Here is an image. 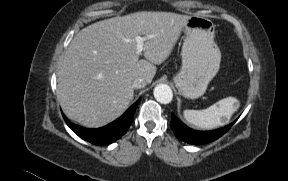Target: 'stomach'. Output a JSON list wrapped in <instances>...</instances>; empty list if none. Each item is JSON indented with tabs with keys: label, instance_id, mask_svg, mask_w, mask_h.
I'll use <instances>...</instances> for the list:
<instances>
[{
	"label": "stomach",
	"instance_id": "obj_1",
	"mask_svg": "<svg viewBox=\"0 0 288 181\" xmlns=\"http://www.w3.org/2000/svg\"><path fill=\"white\" fill-rule=\"evenodd\" d=\"M184 31L182 66L173 80L182 96L196 99L202 96L215 77L221 61V52L214 41L215 25L201 16H190Z\"/></svg>",
	"mask_w": 288,
	"mask_h": 181
}]
</instances>
